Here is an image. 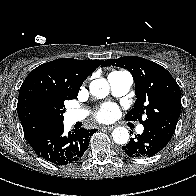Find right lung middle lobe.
Instances as JSON below:
<instances>
[{
    "instance_id": "dd1d6c3e",
    "label": "right lung middle lobe",
    "mask_w": 196,
    "mask_h": 196,
    "mask_svg": "<svg viewBox=\"0 0 196 196\" xmlns=\"http://www.w3.org/2000/svg\"><path fill=\"white\" fill-rule=\"evenodd\" d=\"M66 99H62V100H60V101H58L56 104H55V109H56V115H57V117H58V119H59V121L62 123V121H63V113H64V111H65V109H64V101H65Z\"/></svg>"
}]
</instances>
